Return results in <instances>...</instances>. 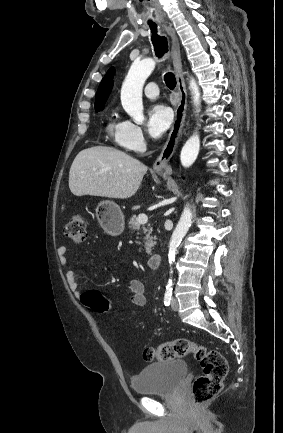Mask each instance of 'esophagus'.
Listing matches in <instances>:
<instances>
[{"label":"esophagus","mask_w":283,"mask_h":433,"mask_svg":"<svg viewBox=\"0 0 283 433\" xmlns=\"http://www.w3.org/2000/svg\"><path fill=\"white\" fill-rule=\"evenodd\" d=\"M163 26L168 35L171 37V57L174 71L176 74L177 88L180 95V100L175 110V118L168 139L162 152L153 164V170L158 173L162 172L164 174H170L172 172V169L169 166L168 162L176 150L185 123L187 109V92L183 76L180 44L178 37L171 24H164Z\"/></svg>","instance_id":"1"}]
</instances>
